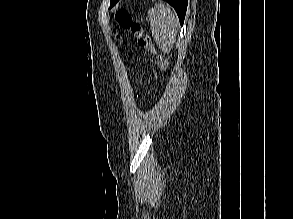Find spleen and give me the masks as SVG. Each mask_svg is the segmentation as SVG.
I'll list each match as a JSON object with an SVG mask.
<instances>
[{"label": "spleen", "instance_id": "obj_1", "mask_svg": "<svg viewBox=\"0 0 293 219\" xmlns=\"http://www.w3.org/2000/svg\"><path fill=\"white\" fill-rule=\"evenodd\" d=\"M148 21L154 41L162 51L169 53L178 32V18L168 5L157 3L148 10Z\"/></svg>", "mask_w": 293, "mask_h": 219}]
</instances>
